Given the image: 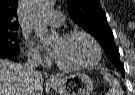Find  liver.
<instances>
[{
  "label": "liver",
  "instance_id": "liver-1",
  "mask_svg": "<svg viewBox=\"0 0 135 95\" xmlns=\"http://www.w3.org/2000/svg\"><path fill=\"white\" fill-rule=\"evenodd\" d=\"M40 72L30 75L24 65L0 59V95H42Z\"/></svg>",
  "mask_w": 135,
  "mask_h": 95
}]
</instances>
